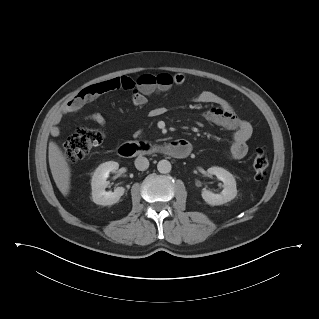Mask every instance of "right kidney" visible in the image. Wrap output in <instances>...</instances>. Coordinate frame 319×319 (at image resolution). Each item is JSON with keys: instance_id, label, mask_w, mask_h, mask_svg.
I'll return each mask as SVG.
<instances>
[{"instance_id": "obj_1", "label": "right kidney", "mask_w": 319, "mask_h": 319, "mask_svg": "<svg viewBox=\"0 0 319 319\" xmlns=\"http://www.w3.org/2000/svg\"><path fill=\"white\" fill-rule=\"evenodd\" d=\"M119 168V164L114 161H108L102 163L95 170L91 186H92V199L93 202L98 205H112L119 201L121 196L125 192L124 187H117L114 192H106L105 188L108 186L107 178L110 172H116Z\"/></svg>"}]
</instances>
